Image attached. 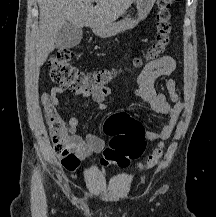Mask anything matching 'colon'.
Here are the masks:
<instances>
[{"instance_id": "5ec220e1", "label": "colon", "mask_w": 216, "mask_h": 217, "mask_svg": "<svg viewBox=\"0 0 216 217\" xmlns=\"http://www.w3.org/2000/svg\"><path fill=\"white\" fill-rule=\"evenodd\" d=\"M179 0H157L158 13L156 17V33L152 46L146 53V59L155 61L165 55L171 45L172 33V6ZM72 48L58 50L50 62V77L62 87L75 90H94L110 81L108 70L86 72L72 65L74 57ZM134 64L140 66L142 61L135 60ZM46 112V122L55 153L61 159L62 165L73 171L79 166V159L73 153L68 140L65 122L57 111L51 106L47 94L43 96ZM104 131L111 136L108 146L103 150L101 164L125 167L130 161L139 158L145 148V131L140 122L131 118L127 113H118L110 116L104 123ZM163 156V146L158 145L140 165L142 170L155 168Z\"/></svg>"}]
</instances>
